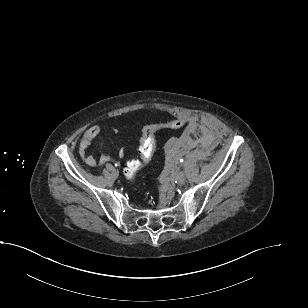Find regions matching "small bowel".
<instances>
[{"mask_svg": "<svg viewBox=\"0 0 308 308\" xmlns=\"http://www.w3.org/2000/svg\"><path fill=\"white\" fill-rule=\"evenodd\" d=\"M101 128L98 125L89 127L82 135L79 143V156L83 162L89 167H97L103 165L105 162L111 160V157L107 154H102L97 161L94 156L88 152L91 142L100 134ZM119 155H123V151H119Z\"/></svg>", "mask_w": 308, "mask_h": 308, "instance_id": "obj_1", "label": "small bowel"}]
</instances>
